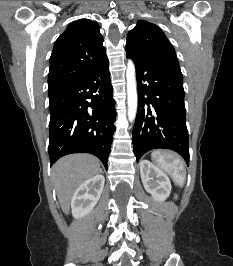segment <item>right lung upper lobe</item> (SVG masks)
Instances as JSON below:
<instances>
[{"mask_svg": "<svg viewBox=\"0 0 233 266\" xmlns=\"http://www.w3.org/2000/svg\"><path fill=\"white\" fill-rule=\"evenodd\" d=\"M107 60L99 25L87 19L74 21L54 44L50 57L49 93L74 83Z\"/></svg>", "mask_w": 233, "mask_h": 266, "instance_id": "1", "label": "right lung upper lobe"}]
</instances>
